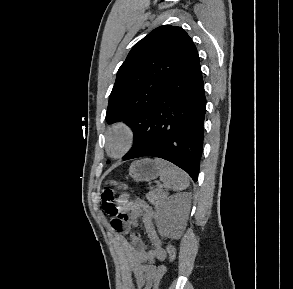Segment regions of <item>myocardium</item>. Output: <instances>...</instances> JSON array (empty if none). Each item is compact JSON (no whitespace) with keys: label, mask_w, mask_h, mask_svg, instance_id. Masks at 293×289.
<instances>
[{"label":"myocardium","mask_w":293,"mask_h":289,"mask_svg":"<svg viewBox=\"0 0 293 289\" xmlns=\"http://www.w3.org/2000/svg\"><path fill=\"white\" fill-rule=\"evenodd\" d=\"M121 135L124 139V143L121 149L114 153L111 150V140L116 136ZM136 139V129L133 124L128 121L120 120L113 123L106 132V144L105 148L107 153L112 158H119L125 155L134 145Z\"/></svg>","instance_id":"myocardium-1"}]
</instances>
